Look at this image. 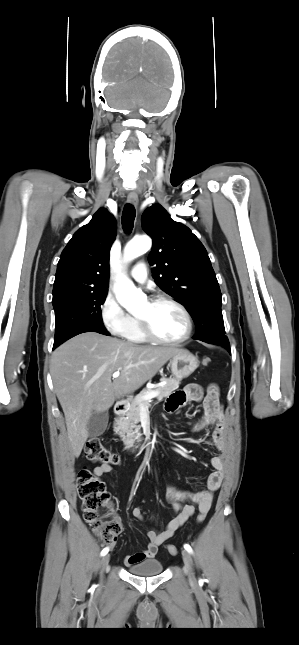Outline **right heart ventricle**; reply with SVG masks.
<instances>
[{"label":"right heart ventricle","mask_w":299,"mask_h":645,"mask_svg":"<svg viewBox=\"0 0 299 645\" xmlns=\"http://www.w3.org/2000/svg\"><path fill=\"white\" fill-rule=\"evenodd\" d=\"M123 336L126 340L133 343H144L147 341L135 317H131V323Z\"/></svg>","instance_id":"1"}]
</instances>
